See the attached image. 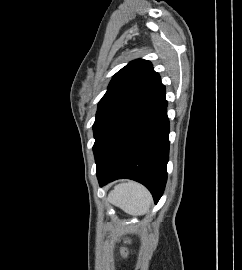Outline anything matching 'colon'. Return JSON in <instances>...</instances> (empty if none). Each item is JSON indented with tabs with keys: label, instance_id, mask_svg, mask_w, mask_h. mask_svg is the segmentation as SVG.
<instances>
[{
	"label": "colon",
	"instance_id": "colon-1",
	"mask_svg": "<svg viewBox=\"0 0 242 270\" xmlns=\"http://www.w3.org/2000/svg\"><path fill=\"white\" fill-rule=\"evenodd\" d=\"M121 254H122V255H126L127 252H126L125 250H122V251H121Z\"/></svg>",
	"mask_w": 242,
	"mask_h": 270
}]
</instances>
